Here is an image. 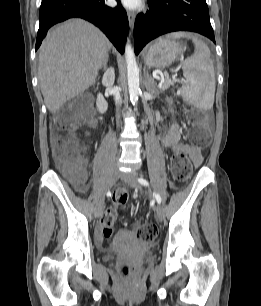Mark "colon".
Here are the masks:
<instances>
[{
  "mask_svg": "<svg viewBox=\"0 0 261 306\" xmlns=\"http://www.w3.org/2000/svg\"><path fill=\"white\" fill-rule=\"evenodd\" d=\"M91 118L89 97L82 96L62 108L55 120L56 129L61 132L55 139L54 158L66 176L75 184L81 185L86 178L84 167V145L77 138L75 131ZM191 128L188 133L191 144L197 148H206L211 141V133L207 120L194 113L191 118ZM171 171L174 179L186 181L192 173V162L184 151H177L171 158ZM128 195L124 191H117L112 199V205L106 209L101 218V229L105 239H110L116 221L117 209L124 206ZM137 235L146 242L154 241L158 236V229L152 223H145L137 227ZM120 272L127 276L130 269L127 265L120 267Z\"/></svg>",
  "mask_w": 261,
  "mask_h": 306,
  "instance_id": "colon-1",
  "label": "colon"
}]
</instances>
